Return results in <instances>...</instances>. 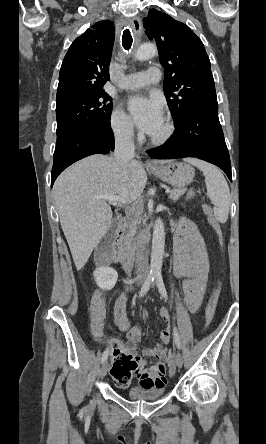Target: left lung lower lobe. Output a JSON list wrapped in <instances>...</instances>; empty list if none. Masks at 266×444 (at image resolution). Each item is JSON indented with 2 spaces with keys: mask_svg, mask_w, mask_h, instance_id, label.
Returning <instances> with one entry per match:
<instances>
[{
  "mask_svg": "<svg viewBox=\"0 0 266 444\" xmlns=\"http://www.w3.org/2000/svg\"><path fill=\"white\" fill-rule=\"evenodd\" d=\"M173 138L159 150L149 153L155 159L196 157L220 167L231 177V162L218 118V105H200L174 121Z\"/></svg>",
  "mask_w": 266,
  "mask_h": 444,
  "instance_id": "obj_1",
  "label": "left lung lower lobe"
}]
</instances>
